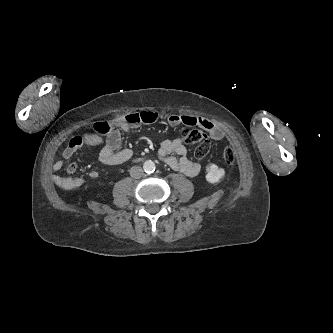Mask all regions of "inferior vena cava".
<instances>
[{"label": "inferior vena cava", "mask_w": 333, "mask_h": 333, "mask_svg": "<svg viewBox=\"0 0 333 333\" xmlns=\"http://www.w3.org/2000/svg\"><path fill=\"white\" fill-rule=\"evenodd\" d=\"M130 175L133 178H141L143 176V170L140 166H133L130 169Z\"/></svg>", "instance_id": "obj_1"}]
</instances>
